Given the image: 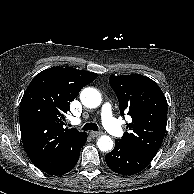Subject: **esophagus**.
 <instances>
[{
	"label": "esophagus",
	"instance_id": "esophagus-1",
	"mask_svg": "<svg viewBox=\"0 0 194 194\" xmlns=\"http://www.w3.org/2000/svg\"><path fill=\"white\" fill-rule=\"evenodd\" d=\"M103 133L102 132H100V131H92V132H90V135L92 136V137H99L100 135H102Z\"/></svg>",
	"mask_w": 194,
	"mask_h": 194
}]
</instances>
